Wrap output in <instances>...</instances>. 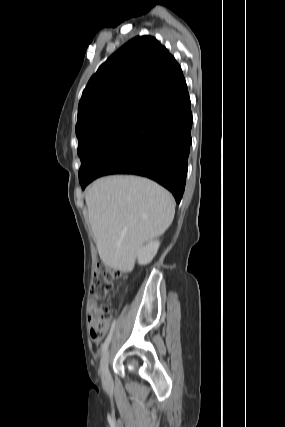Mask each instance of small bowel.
Here are the masks:
<instances>
[{"label": "small bowel", "mask_w": 285, "mask_h": 427, "mask_svg": "<svg viewBox=\"0 0 285 427\" xmlns=\"http://www.w3.org/2000/svg\"><path fill=\"white\" fill-rule=\"evenodd\" d=\"M94 306H95V302H94V301H91V302L89 303V308H90V309H92Z\"/></svg>", "instance_id": "c3829d8e"}]
</instances>
